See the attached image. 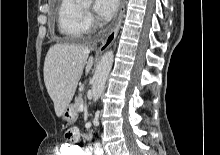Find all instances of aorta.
Returning a JSON list of instances; mask_svg holds the SVG:
<instances>
[{
  "label": "aorta",
  "instance_id": "aorta-1",
  "mask_svg": "<svg viewBox=\"0 0 220 155\" xmlns=\"http://www.w3.org/2000/svg\"><path fill=\"white\" fill-rule=\"evenodd\" d=\"M113 58V51H107L102 56L101 61L96 69L92 80V96L94 102H96L100 98L104 90L106 80L112 68Z\"/></svg>",
  "mask_w": 220,
  "mask_h": 155
}]
</instances>
